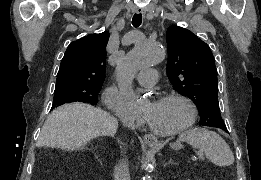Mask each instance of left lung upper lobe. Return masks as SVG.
<instances>
[{
    "mask_svg": "<svg viewBox=\"0 0 261 180\" xmlns=\"http://www.w3.org/2000/svg\"><path fill=\"white\" fill-rule=\"evenodd\" d=\"M167 74L174 89L198 108L200 126L226 129L218 103V81L209 46L191 31L171 26L166 33Z\"/></svg>",
    "mask_w": 261,
    "mask_h": 180,
    "instance_id": "obj_1",
    "label": "left lung upper lobe"
}]
</instances>
